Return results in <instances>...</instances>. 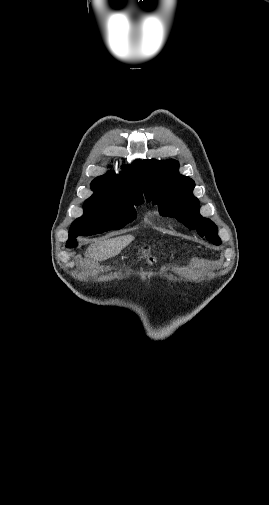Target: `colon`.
<instances>
[{
  "instance_id": "colon-1",
  "label": "colon",
  "mask_w": 269,
  "mask_h": 505,
  "mask_svg": "<svg viewBox=\"0 0 269 505\" xmlns=\"http://www.w3.org/2000/svg\"><path fill=\"white\" fill-rule=\"evenodd\" d=\"M143 257H144V259H146V260L152 261V258H151V257H149V255H148V253H147V252H144V253H143Z\"/></svg>"
}]
</instances>
